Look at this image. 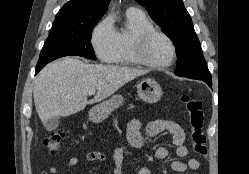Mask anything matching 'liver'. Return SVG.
I'll list each match as a JSON object with an SVG mask.
<instances>
[{"label":"liver","instance_id":"liver-1","mask_svg":"<svg viewBox=\"0 0 249 174\" xmlns=\"http://www.w3.org/2000/svg\"><path fill=\"white\" fill-rule=\"evenodd\" d=\"M146 73L128 67L88 64L75 57L63 58L48 64L37 75L33 90L35 108L44 124L52 117H66L87 104L100 102ZM91 90L97 93L88 101Z\"/></svg>","mask_w":249,"mask_h":174}]
</instances>
